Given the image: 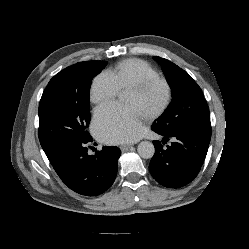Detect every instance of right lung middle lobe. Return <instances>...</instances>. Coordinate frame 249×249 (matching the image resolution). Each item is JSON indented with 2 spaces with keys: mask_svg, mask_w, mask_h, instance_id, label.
<instances>
[{
  "mask_svg": "<svg viewBox=\"0 0 249 249\" xmlns=\"http://www.w3.org/2000/svg\"><path fill=\"white\" fill-rule=\"evenodd\" d=\"M106 65V61L79 62L49 81L39 103L38 136L43 150L61 141L91 137L86 130L91 81Z\"/></svg>",
  "mask_w": 249,
  "mask_h": 249,
  "instance_id": "dd1d6c3e",
  "label": "right lung middle lobe"
}]
</instances>
